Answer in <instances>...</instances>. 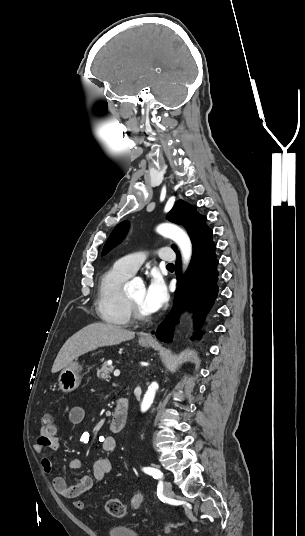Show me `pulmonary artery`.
<instances>
[{
    "instance_id": "e3ab8cb5",
    "label": "pulmonary artery",
    "mask_w": 305,
    "mask_h": 536,
    "mask_svg": "<svg viewBox=\"0 0 305 536\" xmlns=\"http://www.w3.org/2000/svg\"><path fill=\"white\" fill-rule=\"evenodd\" d=\"M160 252L158 254V257L160 258L161 262L164 264H170L175 262L176 257L173 255L174 250L171 245L166 244L163 246V248H160ZM145 261L144 257H140L136 254H130L127 255L121 259H119L115 263V267L125 273L128 276H132L136 273V271L139 269V267L143 264Z\"/></svg>"
}]
</instances>
